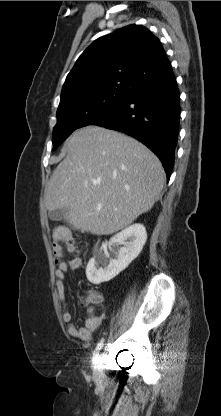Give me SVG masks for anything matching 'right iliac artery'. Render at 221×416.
Returning <instances> with one entry per match:
<instances>
[{
    "mask_svg": "<svg viewBox=\"0 0 221 416\" xmlns=\"http://www.w3.org/2000/svg\"><path fill=\"white\" fill-rule=\"evenodd\" d=\"M104 345V339H101L100 342L97 344L94 353H93V360L94 362H96V360L98 359V354L100 352V350L102 349Z\"/></svg>",
    "mask_w": 221,
    "mask_h": 416,
    "instance_id": "82829eb1",
    "label": "right iliac artery"
}]
</instances>
